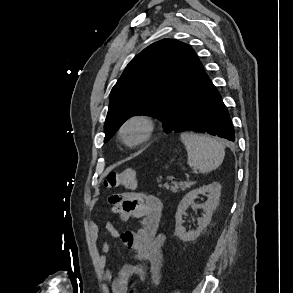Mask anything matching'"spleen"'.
<instances>
[{
  "instance_id": "obj_1",
  "label": "spleen",
  "mask_w": 293,
  "mask_h": 293,
  "mask_svg": "<svg viewBox=\"0 0 293 293\" xmlns=\"http://www.w3.org/2000/svg\"><path fill=\"white\" fill-rule=\"evenodd\" d=\"M180 137L186 147L190 167L207 174L222 164L225 146L218 139L188 132L181 133Z\"/></svg>"
}]
</instances>
